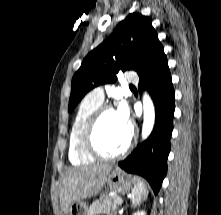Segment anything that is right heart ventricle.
<instances>
[{
  "instance_id": "right-heart-ventricle-1",
  "label": "right heart ventricle",
  "mask_w": 221,
  "mask_h": 215,
  "mask_svg": "<svg viewBox=\"0 0 221 215\" xmlns=\"http://www.w3.org/2000/svg\"><path fill=\"white\" fill-rule=\"evenodd\" d=\"M101 105L102 102L87 95L75 113L68 141V159L73 165H87L95 160L83 147V133L92 114Z\"/></svg>"
}]
</instances>
